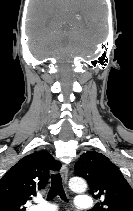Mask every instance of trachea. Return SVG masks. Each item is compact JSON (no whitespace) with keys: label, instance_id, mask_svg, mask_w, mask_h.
Wrapping results in <instances>:
<instances>
[{"label":"trachea","instance_id":"1","mask_svg":"<svg viewBox=\"0 0 133 211\" xmlns=\"http://www.w3.org/2000/svg\"><path fill=\"white\" fill-rule=\"evenodd\" d=\"M57 195H59L61 199L67 201L60 174H53L51 177V189L48 193L47 199L52 200Z\"/></svg>","mask_w":133,"mask_h":211}]
</instances>
